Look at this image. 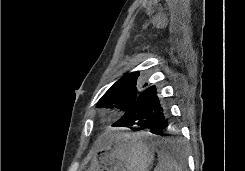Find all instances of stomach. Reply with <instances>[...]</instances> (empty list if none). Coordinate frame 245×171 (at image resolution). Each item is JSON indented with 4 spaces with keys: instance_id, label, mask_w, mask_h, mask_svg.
<instances>
[{
    "instance_id": "1",
    "label": "stomach",
    "mask_w": 245,
    "mask_h": 171,
    "mask_svg": "<svg viewBox=\"0 0 245 171\" xmlns=\"http://www.w3.org/2000/svg\"><path fill=\"white\" fill-rule=\"evenodd\" d=\"M154 148L143 135L115 132L104 136L86 171H149Z\"/></svg>"
}]
</instances>
